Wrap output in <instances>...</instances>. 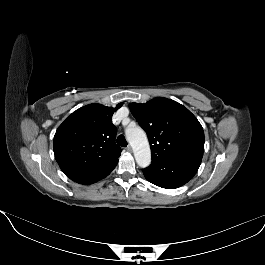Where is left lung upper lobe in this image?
Here are the masks:
<instances>
[{"label":"left lung upper lobe","instance_id":"obj_1","mask_svg":"<svg viewBox=\"0 0 265 265\" xmlns=\"http://www.w3.org/2000/svg\"><path fill=\"white\" fill-rule=\"evenodd\" d=\"M129 108L147 133L152 163L195 154L203 155V128L183 105L157 97L144 104L131 103Z\"/></svg>","mask_w":265,"mask_h":265}]
</instances>
